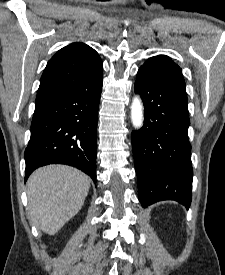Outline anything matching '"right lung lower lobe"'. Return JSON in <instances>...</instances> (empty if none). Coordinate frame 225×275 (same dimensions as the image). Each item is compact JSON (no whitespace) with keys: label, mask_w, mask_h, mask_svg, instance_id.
Wrapping results in <instances>:
<instances>
[{"label":"right lung lower lobe","mask_w":225,"mask_h":275,"mask_svg":"<svg viewBox=\"0 0 225 275\" xmlns=\"http://www.w3.org/2000/svg\"><path fill=\"white\" fill-rule=\"evenodd\" d=\"M103 77L91 90L67 91L35 101L25 150V180L38 167L74 166L96 183V128Z\"/></svg>","instance_id":"1"}]
</instances>
